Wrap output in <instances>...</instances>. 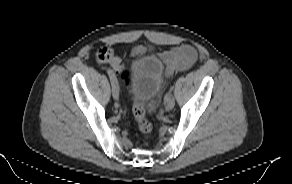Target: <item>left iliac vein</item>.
Wrapping results in <instances>:
<instances>
[{
  "label": "left iliac vein",
  "instance_id": "4c4485c4",
  "mask_svg": "<svg viewBox=\"0 0 292 184\" xmlns=\"http://www.w3.org/2000/svg\"><path fill=\"white\" fill-rule=\"evenodd\" d=\"M175 106V100L172 97V95L169 97V99L166 101V111H171Z\"/></svg>",
  "mask_w": 292,
  "mask_h": 184
}]
</instances>
